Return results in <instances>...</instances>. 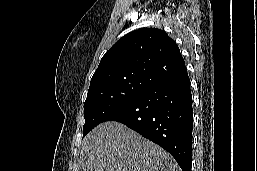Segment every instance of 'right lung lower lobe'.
Wrapping results in <instances>:
<instances>
[{
	"label": "right lung lower lobe",
	"instance_id": "1",
	"mask_svg": "<svg viewBox=\"0 0 257 171\" xmlns=\"http://www.w3.org/2000/svg\"><path fill=\"white\" fill-rule=\"evenodd\" d=\"M105 121L123 123L168 151L182 171H191L193 109L186 67L145 88Z\"/></svg>",
	"mask_w": 257,
	"mask_h": 171
}]
</instances>
